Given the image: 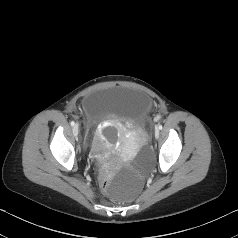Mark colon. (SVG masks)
<instances>
[{"instance_id": "colon-1", "label": "colon", "mask_w": 238, "mask_h": 238, "mask_svg": "<svg viewBox=\"0 0 238 238\" xmlns=\"http://www.w3.org/2000/svg\"><path fill=\"white\" fill-rule=\"evenodd\" d=\"M99 188L101 190H106L108 188V180L106 178H102L99 183Z\"/></svg>"}]
</instances>
